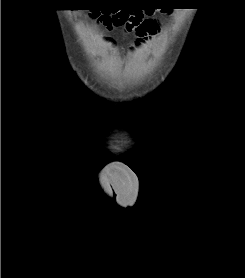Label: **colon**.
I'll return each mask as SVG.
<instances>
[{
  "label": "colon",
  "instance_id": "5ec220e1",
  "mask_svg": "<svg viewBox=\"0 0 245 278\" xmlns=\"http://www.w3.org/2000/svg\"><path fill=\"white\" fill-rule=\"evenodd\" d=\"M99 23L107 30L121 27L124 31L134 32L139 37L152 35L158 31L156 22L147 20L141 11L114 15L105 14L99 17Z\"/></svg>",
  "mask_w": 245,
  "mask_h": 278
}]
</instances>
